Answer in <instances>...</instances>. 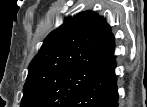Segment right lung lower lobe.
I'll list each match as a JSON object with an SVG mask.
<instances>
[{
	"label": "right lung lower lobe",
	"instance_id": "98d812e1",
	"mask_svg": "<svg viewBox=\"0 0 147 107\" xmlns=\"http://www.w3.org/2000/svg\"><path fill=\"white\" fill-rule=\"evenodd\" d=\"M115 67L116 62L113 57L64 107H118Z\"/></svg>",
	"mask_w": 147,
	"mask_h": 107
}]
</instances>
